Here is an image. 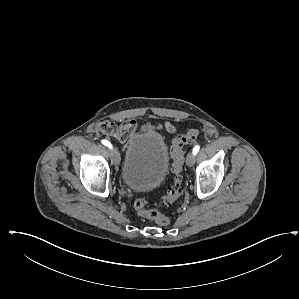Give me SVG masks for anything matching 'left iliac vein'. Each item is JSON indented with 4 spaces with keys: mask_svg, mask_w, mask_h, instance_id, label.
Returning a JSON list of instances; mask_svg holds the SVG:
<instances>
[{
    "mask_svg": "<svg viewBox=\"0 0 299 299\" xmlns=\"http://www.w3.org/2000/svg\"><path fill=\"white\" fill-rule=\"evenodd\" d=\"M194 154L192 152L188 153L187 157H186V163L189 167L193 166L195 163V158H194Z\"/></svg>",
    "mask_w": 299,
    "mask_h": 299,
    "instance_id": "4c4485c4",
    "label": "left iliac vein"
}]
</instances>
